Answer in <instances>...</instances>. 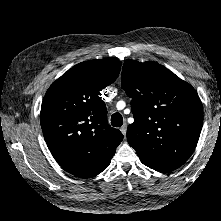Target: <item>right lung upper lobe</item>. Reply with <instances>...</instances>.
Segmentation results:
<instances>
[{
  "instance_id": "1",
  "label": "right lung upper lobe",
  "mask_w": 221,
  "mask_h": 221,
  "mask_svg": "<svg viewBox=\"0 0 221 221\" xmlns=\"http://www.w3.org/2000/svg\"><path fill=\"white\" fill-rule=\"evenodd\" d=\"M120 61L112 58L79 63L47 90L41 107L42 132L51 154L68 173L80 178L107 168L123 140L110 127L100 91L119 75Z\"/></svg>"
}]
</instances>
